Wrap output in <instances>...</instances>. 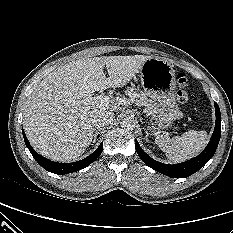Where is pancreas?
<instances>
[{
    "label": "pancreas",
    "mask_w": 233,
    "mask_h": 233,
    "mask_svg": "<svg viewBox=\"0 0 233 233\" xmlns=\"http://www.w3.org/2000/svg\"><path fill=\"white\" fill-rule=\"evenodd\" d=\"M125 94L128 95L134 102L139 105H144L148 110H151V104L148 103V99L145 95L139 93L134 88H127Z\"/></svg>",
    "instance_id": "obj_1"
}]
</instances>
